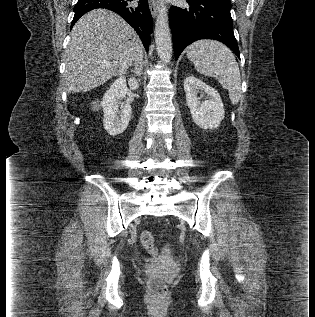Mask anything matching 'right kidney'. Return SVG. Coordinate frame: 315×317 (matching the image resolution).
Masks as SVG:
<instances>
[{"instance_id":"ca27d5eb","label":"right kidney","mask_w":315,"mask_h":317,"mask_svg":"<svg viewBox=\"0 0 315 317\" xmlns=\"http://www.w3.org/2000/svg\"><path fill=\"white\" fill-rule=\"evenodd\" d=\"M130 89L139 88V83L134 79L128 80ZM128 92L126 79L123 76L117 78L103 96L101 106L103 108L104 129L109 135L116 136L125 131L131 119V105L121 102Z\"/></svg>"}]
</instances>
